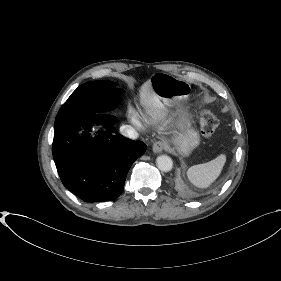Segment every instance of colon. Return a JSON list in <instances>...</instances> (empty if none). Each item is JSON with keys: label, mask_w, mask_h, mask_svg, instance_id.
<instances>
[{"label": "colon", "mask_w": 281, "mask_h": 281, "mask_svg": "<svg viewBox=\"0 0 281 281\" xmlns=\"http://www.w3.org/2000/svg\"><path fill=\"white\" fill-rule=\"evenodd\" d=\"M217 119L215 115L209 111L204 110L201 115V127L205 136H212L217 128Z\"/></svg>", "instance_id": "5ec220e1"}]
</instances>
